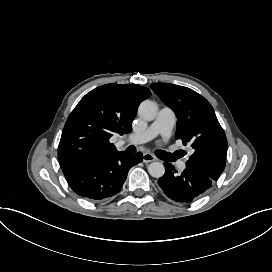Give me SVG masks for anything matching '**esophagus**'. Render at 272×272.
I'll list each match as a JSON object with an SVG mask.
<instances>
[{"mask_svg":"<svg viewBox=\"0 0 272 272\" xmlns=\"http://www.w3.org/2000/svg\"><path fill=\"white\" fill-rule=\"evenodd\" d=\"M143 162H151L157 160V158L151 153H144L142 156Z\"/></svg>","mask_w":272,"mask_h":272,"instance_id":"esophagus-1","label":"esophagus"}]
</instances>
